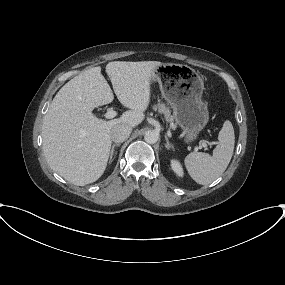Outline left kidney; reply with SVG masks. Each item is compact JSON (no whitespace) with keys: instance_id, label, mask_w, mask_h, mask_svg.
Masks as SVG:
<instances>
[{"instance_id":"5707ae66","label":"left kidney","mask_w":285,"mask_h":285,"mask_svg":"<svg viewBox=\"0 0 285 285\" xmlns=\"http://www.w3.org/2000/svg\"><path fill=\"white\" fill-rule=\"evenodd\" d=\"M171 168L179 177H183L184 172H183V168H182L179 161L172 159L171 160Z\"/></svg>"}]
</instances>
